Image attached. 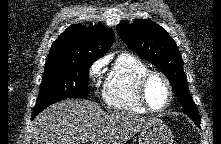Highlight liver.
Masks as SVG:
<instances>
[{"label":"liver","mask_w":221,"mask_h":144,"mask_svg":"<svg viewBox=\"0 0 221 144\" xmlns=\"http://www.w3.org/2000/svg\"><path fill=\"white\" fill-rule=\"evenodd\" d=\"M157 119L103 111L89 100L67 99L42 111L33 121V144H125Z\"/></svg>","instance_id":"1"}]
</instances>
